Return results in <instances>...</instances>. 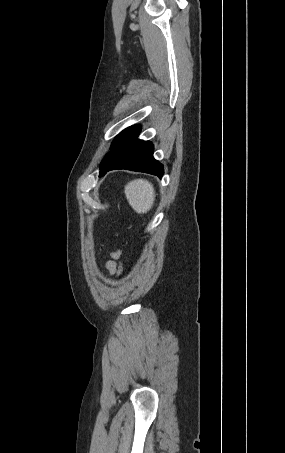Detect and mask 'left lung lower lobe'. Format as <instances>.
Listing matches in <instances>:
<instances>
[{
    "label": "left lung lower lobe",
    "mask_w": 285,
    "mask_h": 453,
    "mask_svg": "<svg viewBox=\"0 0 285 453\" xmlns=\"http://www.w3.org/2000/svg\"><path fill=\"white\" fill-rule=\"evenodd\" d=\"M140 130L139 126L126 129L119 138L108 161L100 170V176L110 170L128 169L162 177L164 174L163 165L153 157V144L137 138Z\"/></svg>",
    "instance_id": "obj_1"
}]
</instances>
